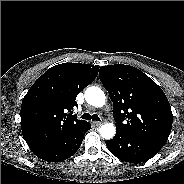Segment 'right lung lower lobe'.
<instances>
[{
    "mask_svg": "<svg viewBox=\"0 0 184 184\" xmlns=\"http://www.w3.org/2000/svg\"><path fill=\"white\" fill-rule=\"evenodd\" d=\"M90 128L91 124L70 137L56 139L30 149L38 158L44 161L60 162L66 160L76 153L82 143L85 132Z\"/></svg>",
    "mask_w": 184,
    "mask_h": 184,
    "instance_id": "obj_1",
    "label": "right lung lower lobe"
}]
</instances>
